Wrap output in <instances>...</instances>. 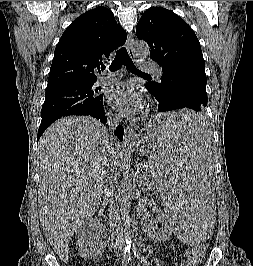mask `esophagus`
<instances>
[{"label": "esophagus", "mask_w": 253, "mask_h": 266, "mask_svg": "<svg viewBox=\"0 0 253 266\" xmlns=\"http://www.w3.org/2000/svg\"><path fill=\"white\" fill-rule=\"evenodd\" d=\"M133 42H134L133 36H132V34H129L128 37H127L126 45H127L128 53H129V55L131 57H135L134 52H133ZM135 138H136L135 130L132 127H130V126H127L125 128L124 142L125 143H130Z\"/></svg>", "instance_id": "34e87169"}]
</instances>
